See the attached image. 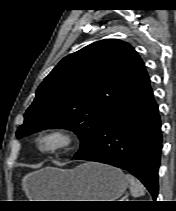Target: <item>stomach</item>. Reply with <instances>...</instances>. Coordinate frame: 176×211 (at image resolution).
Wrapping results in <instances>:
<instances>
[{
	"label": "stomach",
	"instance_id": "1",
	"mask_svg": "<svg viewBox=\"0 0 176 211\" xmlns=\"http://www.w3.org/2000/svg\"><path fill=\"white\" fill-rule=\"evenodd\" d=\"M127 186L120 169L94 162L74 169L47 167L24 179L26 194L33 201H114Z\"/></svg>",
	"mask_w": 176,
	"mask_h": 211
}]
</instances>
